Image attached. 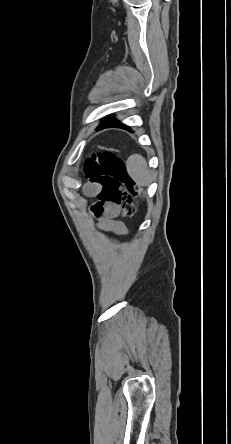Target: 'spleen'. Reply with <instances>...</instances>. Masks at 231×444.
I'll return each instance as SVG.
<instances>
[{
	"label": "spleen",
	"mask_w": 231,
	"mask_h": 444,
	"mask_svg": "<svg viewBox=\"0 0 231 444\" xmlns=\"http://www.w3.org/2000/svg\"><path fill=\"white\" fill-rule=\"evenodd\" d=\"M129 176L140 186H148L151 182V172L146 160L139 154L130 156L126 162Z\"/></svg>",
	"instance_id": "spleen-1"
}]
</instances>
